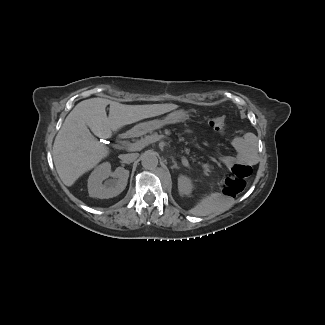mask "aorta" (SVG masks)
Returning a JSON list of instances; mask_svg holds the SVG:
<instances>
[{
	"instance_id": "aorta-1",
	"label": "aorta",
	"mask_w": 325,
	"mask_h": 325,
	"mask_svg": "<svg viewBox=\"0 0 325 325\" xmlns=\"http://www.w3.org/2000/svg\"><path fill=\"white\" fill-rule=\"evenodd\" d=\"M141 164L145 169L152 170L158 165V157L154 151L148 150L141 156Z\"/></svg>"
}]
</instances>
